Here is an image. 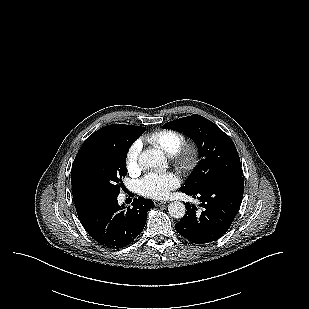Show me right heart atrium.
<instances>
[{"label":"right heart atrium","instance_id":"obj_1","mask_svg":"<svg viewBox=\"0 0 309 309\" xmlns=\"http://www.w3.org/2000/svg\"><path fill=\"white\" fill-rule=\"evenodd\" d=\"M141 143L134 142L127 150L125 155V163L129 172L135 173L139 170V157L141 153Z\"/></svg>","mask_w":309,"mask_h":309}]
</instances>
